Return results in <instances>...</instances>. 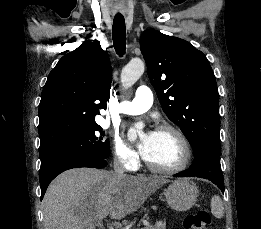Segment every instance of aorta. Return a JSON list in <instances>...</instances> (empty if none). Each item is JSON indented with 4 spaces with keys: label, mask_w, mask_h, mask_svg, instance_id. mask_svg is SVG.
<instances>
[{
    "label": "aorta",
    "mask_w": 261,
    "mask_h": 229,
    "mask_svg": "<svg viewBox=\"0 0 261 229\" xmlns=\"http://www.w3.org/2000/svg\"><path fill=\"white\" fill-rule=\"evenodd\" d=\"M145 70V64L141 58H132L124 68H122L121 72V80L123 82V86L128 88V86H132L138 78H140L141 74H143ZM143 123H136L134 129H130V135H140L141 139L144 137L142 133Z\"/></svg>",
    "instance_id": "aorta-1"
}]
</instances>
